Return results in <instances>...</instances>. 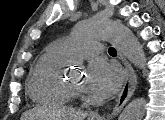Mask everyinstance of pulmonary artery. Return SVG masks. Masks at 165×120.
Returning <instances> with one entry per match:
<instances>
[{
    "label": "pulmonary artery",
    "mask_w": 165,
    "mask_h": 120,
    "mask_svg": "<svg viewBox=\"0 0 165 120\" xmlns=\"http://www.w3.org/2000/svg\"><path fill=\"white\" fill-rule=\"evenodd\" d=\"M53 46L67 57H87L101 51V45L98 42L76 40L69 37L58 39Z\"/></svg>",
    "instance_id": "obj_1"
}]
</instances>
